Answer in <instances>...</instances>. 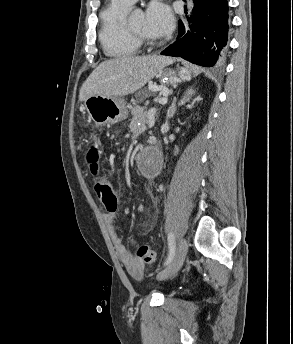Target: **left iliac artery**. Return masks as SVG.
<instances>
[{"instance_id": "left-iliac-artery-1", "label": "left iliac artery", "mask_w": 293, "mask_h": 344, "mask_svg": "<svg viewBox=\"0 0 293 344\" xmlns=\"http://www.w3.org/2000/svg\"><path fill=\"white\" fill-rule=\"evenodd\" d=\"M168 245H169V255L164 265H168L172 261L175 255L176 244H175L174 234L172 232L168 234Z\"/></svg>"}]
</instances>
